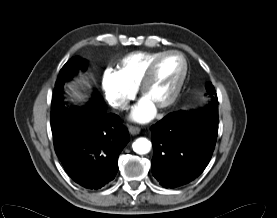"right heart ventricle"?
<instances>
[{"mask_svg":"<svg viewBox=\"0 0 277 218\" xmlns=\"http://www.w3.org/2000/svg\"><path fill=\"white\" fill-rule=\"evenodd\" d=\"M162 52H133L123 57L118 73L133 88H137L150 62Z\"/></svg>","mask_w":277,"mask_h":218,"instance_id":"right-heart-ventricle-1","label":"right heart ventricle"}]
</instances>
